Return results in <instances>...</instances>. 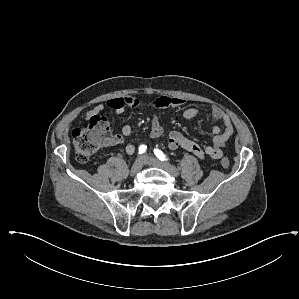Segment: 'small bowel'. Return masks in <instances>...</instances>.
<instances>
[{"label": "small bowel", "instance_id": "obj_1", "mask_svg": "<svg viewBox=\"0 0 299 299\" xmlns=\"http://www.w3.org/2000/svg\"><path fill=\"white\" fill-rule=\"evenodd\" d=\"M186 100L180 97H168L162 96L156 98L149 103L154 108L173 107L178 108L185 105ZM107 106L113 110L114 114L119 116L124 113L126 107L139 108L143 106V102L132 95H128L124 98H112L107 101ZM104 105L98 104L91 108L87 112V118H91L95 115H101L104 111ZM202 109L198 107H187L182 111V116L185 119H193L200 116ZM209 121L211 123L212 143L210 145L202 147L197 142L185 136L179 131H171L168 135V146L172 150L178 148L185 149L197 157L219 159L222 156V147L228 142L230 137L234 133V127L228 114H226L219 107H212L209 112ZM221 123L223 128L218 126ZM132 133V127L130 125H124L121 130V135L114 136L112 141L113 145L122 143L123 136H129ZM164 134V129L160 119L153 115L150 119V135L154 138L161 137ZM134 144H127L125 151L127 154H133L135 152Z\"/></svg>", "mask_w": 299, "mask_h": 299}]
</instances>
